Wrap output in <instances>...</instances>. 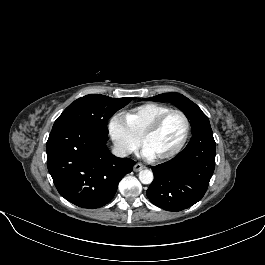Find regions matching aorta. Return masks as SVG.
Segmentation results:
<instances>
[{
  "label": "aorta",
  "instance_id": "obj_1",
  "mask_svg": "<svg viewBox=\"0 0 265 265\" xmlns=\"http://www.w3.org/2000/svg\"><path fill=\"white\" fill-rule=\"evenodd\" d=\"M153 173L151 170H142L139 173V180L143 184H150L153 181Z\"/></svg>",
  "mask_w": 265,
  "mask_h": 265
}]
</instances>
